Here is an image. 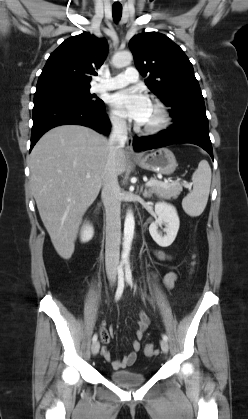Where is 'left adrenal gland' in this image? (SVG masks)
Returning <instances> with one entry per match:
<instances>
[{
	"label": "left adrenal gland",
	"instance_id": "left-adrenal-gland-1",
	"mask_svg": "<svg viewBox=\"0 0 248 419\" xmlns=\"http://www.w3.org/2000/svg\"><path fill=\"white\" fill-rule=\"evenodd\" d=\"M141 192H142V194H143V196L144 197H151L152 196V192H151V190H147V189H145L144 191H143V187H141V190H140Z\"/></svg>",
	"mask_w": 248,
	"mask_h": 419
}]
</instances>
